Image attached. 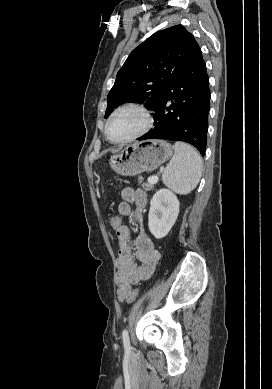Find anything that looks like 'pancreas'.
Masks as SVG:
<instances>
[{
    "mask_svg": "<svg viewBox=\"0 0 272 389\" xmlns=\"http://www.w3.org/2000/svg\"><path fill=\"white\" fill-rule=\"evenodd\" d=\"M153 185L152 183L149 182V179L147 180L146 183H143L142 186L145 190H152L153 189Z\"/></svg>",
    "mask_w": 272,
    "mask_h": 389,
    "instance_id": "1",
    "label": "pancreas"
}]
</instances>
